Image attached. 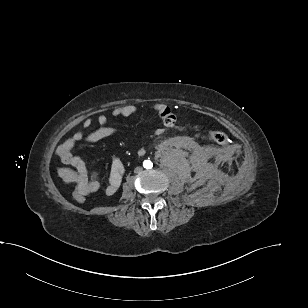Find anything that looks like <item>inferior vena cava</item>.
Instances as JSON below:
<instances>
[{"label": "inferior vena cava", "mask_w": 308, "mask_h": 308, "mask_svg": "<svg viewBox=\"0 0 308 308\" xmlns=\"http://www.w3.org/2000/svg\"><path fill=\"white\" fill-rule=\"evenodd\" d=\"M139 171H141L140 167L135 168V172H139Z\"/></svg>", "instance_id": "1"}]
</instances>
